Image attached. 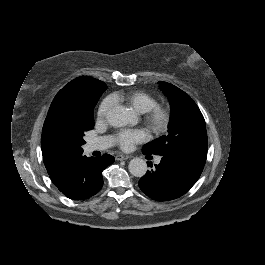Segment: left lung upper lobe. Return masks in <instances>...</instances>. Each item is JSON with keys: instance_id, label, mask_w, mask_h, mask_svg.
Masks as SVG:
<instances>
[{"instance_id": "5c2ea615", "label": "left lung upper lobe", "mask_w": 265, "mask_h": 265, "mask_svg": "<svg viewBox=\"0 0 265 265\" xmlns=\"http://www.w3.org/2000/svg\"><path fill=\"white\" fill-rule=\"evenodd\" d=\"M168 97L171 114L168 134L143 146L144 154L168 155L183 151L208 150L205 120L193 99L176 86L159 82Z\"/></svg>"}]
</instances>
